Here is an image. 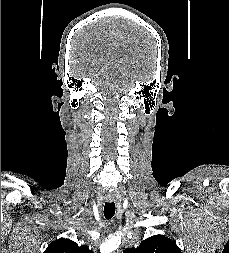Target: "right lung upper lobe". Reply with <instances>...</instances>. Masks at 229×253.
<instances>
[{
  "label": "right lung upper lobe",
  "instance_id": "cb5924a9",
  "mask_svg": "<svg viewBox=\"0 0 229 253\" xmlns=\"http://www.w3.org/2000/svg\"><path fill=\"white\" fill-rule=\"evenodd\" d=\"M44 253H94L87 246H78L69 239H59L49 244Z\"/></svg>",
  "mask_w": 229,
  "mask_h": 253
}]
</instances>
